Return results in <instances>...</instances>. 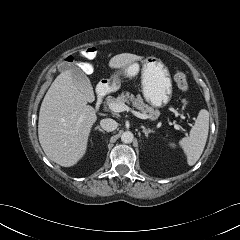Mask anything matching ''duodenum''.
<instances>
[{"instance_id":"410a0bca","label":"duodenum","mask_w":240,"mask_h":240,"mask_svg":"<svg viewBox=\"0 0 240 240\" xmlns=\"http://www.w3.org/2000/svg\"><path fill=\"white\" fill-rule=\"evenodd\" d=\"M110 87L107 83H101L97 88V99L95 102V106L99 107L105 98V96L109 93Z\"/></svg>"}]
</instances>
